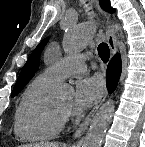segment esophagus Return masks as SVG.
I'll use <instances>...</instances> for the list:
<instances>
[{
  "instance_id": "obj_1",
  "label": "esophagus",
  "mask_w": 145,
  "mask_h": 147,
  "mask_svg": "<svg viewBox=\"0 0 145 147\" xmlns=\"http://www.w3.org/2000/svg\"><path fill=\"white\" fill-rule=\"evenodd\" d=\"M94 4H95V7L97 8V10L99 11V13L107 19V25H106V29H105L106 39H107L111 54H112V56H114L117 53V40L115 37L114 30L112 29V26L110 25V16L101 9V7L99 6V2L97 0H94ZM107 95H108V92L105 89L103 91L102 95L100 96V98L95 103V105L92 108V110L90 111V113L84 119L83 123L80 125V127L74 133V135H73L74 139L80 138L86 132L93 116L95 115V113L97 112L99 107L102 105V103L105 101Z\"/></svg>"
}]
</instances>
